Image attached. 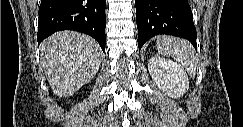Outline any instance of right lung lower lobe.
<instances>
[{
  "instance_id": "1",
  "label": "right lung lower lobe",
  "mask_w": 243,
  "mask_h": 127,
  "mask_svg": "<svg viewBox=\"0 0 243 127\" xmlns=\"http://www.w3.org/2000/svg\"><path fill=\"white\" fill-rule=\"evenodd\" d=\"M106 0H42L39 7L37 41L51 34L74 30L95 38L105 50Z\"/></svg>"
}]
</instances>
